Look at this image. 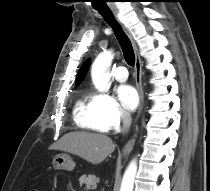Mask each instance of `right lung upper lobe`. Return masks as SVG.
I'll return each mask as SVG.
<instances>
[{
	"label": "right lung upper lobe",
	"instance_id": "right-lung-upper-lobe-1",
	"mask_svg": "<svg viewBox=\"0 0 210 191\" xmlns=\"http://www.w3.org/2000/svg\"><path fill=\"white\" fill-rule=\"evenodd\" d=\"M90 65V61L89 60H86L83 65L81 66L80 68V71L77 75V81H76V84H78V82L81 81V79L84 77L85 73L87 72V69Z\"/></svg>",
	"mask_w": 210,
	"mask_h": 191
}]
</instances>
